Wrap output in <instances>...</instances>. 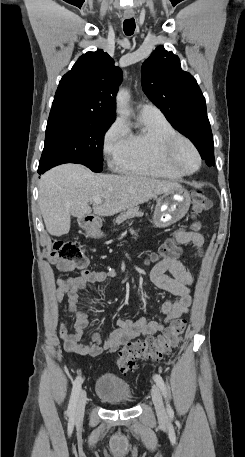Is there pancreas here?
I'll use <instances>...</instances> for the list:
<instances>
[{
    "instance_id": "cf45deb5",
    "label": "pancreas",
    "mask_w": 245,
    "mask_h": 457,
    "mask_svg": "<svg viewBox=\"0 0 245 457\" xmlns=\"http://www.w3.org/2000/svg\"><path fill=\"white\" fill-rule=\"evenodd\" d=\"M144 212H141L139 210V206L137 204H134V206H130V208H127L125 212H120L118 216L115 218V222L117 224H120V222H123V220H126V218H133V216H143Z\"/></svg>"
}]
</instances>
